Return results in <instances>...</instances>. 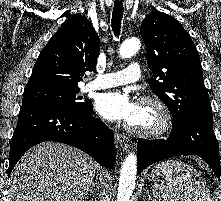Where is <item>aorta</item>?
I'll list each match as a JSON object with an SVG mask.
<instances>
[{"mask_svg":"<svg viewBox=\"0 0 221 201\" xmlns=\"http://www.w3.org/2000/svg\"><path fill=\"white\" fill-rule=\"evenodd\" d=\"M140 48V42L136 38L125 40L119 53L122 58H130L137 53ZM137 174V156L130 153L125 159L121 167L119 186L117 193V201H129L132 196Z\"/></svg>","mask_w":221,"mask_h":201,"instance_id":"obj_1","label":"aorta"}]
</instances>
